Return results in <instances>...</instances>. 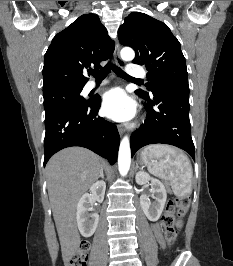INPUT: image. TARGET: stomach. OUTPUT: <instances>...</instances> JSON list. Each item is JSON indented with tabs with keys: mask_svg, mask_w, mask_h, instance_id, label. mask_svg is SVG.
<instances>
[{
	"mask_svg": "<svg viewBox=\"0 0 233 266\" xmlns=\"http://www.w3.org/2000/svg\"><path fill=\"white\" fill-rule=\"evenodd\" d=\"M140 162L144 163L146 165L152 164L153 159L150 156H147L146 159H144L142 156H140Z\"/></svg>",
	"mask_w": 233,
	"mask_h": 266,
	"instance_id": "obj_1",
	"label": "stomach"
}]
</instances>
